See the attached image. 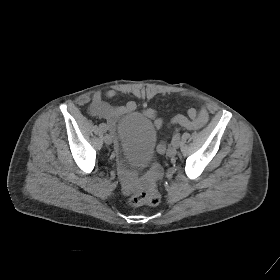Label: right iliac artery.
Segmentation results:
<instances>
[{
  "mask_svg": "<svg viewBox=\"0 0 280 280\" xmlns=\"http://www.w3.org/2000/svg\"><path fill=\"white\" fill-rule=\"evenodd\" d=\"M100 129H101L102 131L106 132V131H107V125H106L105 123H101V124H100Z\"/></svg>",
  "mask_w": 280,
  "mask_h": 280,
  "instance_id": "right-iliac-artery-1",
  "label": "right iliac artery"
}]
</instances>
